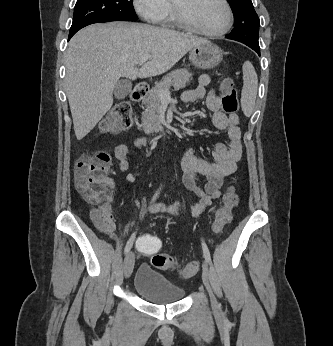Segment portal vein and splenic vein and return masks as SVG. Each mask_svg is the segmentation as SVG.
Here are the masks:
<instances>
[{"instance_id":"portal-vein-and-splenic-vein-1","label":"portal vein and splenic vein","mask_w":333,"mask_h":346,"mask_svg":"<svg viewBox=\"0 0 333 346\" xmlns=\"http://www.w3.org/2000/svg\"><path fill=\"white\" fill-rule=\"evenodd\" d=\"M150 58H151V55H149V54L143 55V56L141 57V59H140L138 65H143V64L146 63V61H147L148 59H150ZM160 98H161V100L170 99V91H169V90H166V91L161 92Z\"/></svg>"}]
</instances>
